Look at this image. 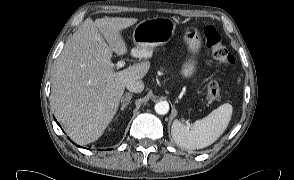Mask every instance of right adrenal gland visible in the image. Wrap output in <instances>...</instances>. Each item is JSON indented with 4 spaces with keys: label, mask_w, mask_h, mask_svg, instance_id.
I'll list each match as a JSON object with an SVG mask.
<instances>
[{
    "label": "right adrenal gland",
    "mask_w": 294,
    "mask_h": 180,
    "mask_svg": "<svg viewBox=\"0 0 294 180\" xmlns=\"http://www.w3.org/2000/svg\"><path fill=\"white\" fill-rule=\"evenodd\" d=\"M132 93H125L124 96L122 97L121 99V103H122V106H121V110H124L131 102V99H132Z\"/></svg>",
    "instance_id": "right-adrenal-gland-1"
}]
</instances>
